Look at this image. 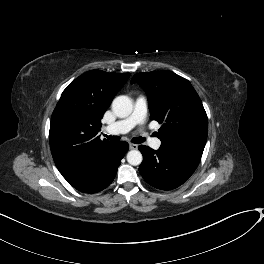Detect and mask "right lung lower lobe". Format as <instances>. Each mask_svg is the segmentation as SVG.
Segmentation results:
<instances>
[{
  "mask_svg": "<svg viewBox=\"0 0 264 264\" xmlns=\"http://www.w3.org/2000/svg\"><path fill=\"white\" fill-rule=\"evenodd\" d=\"M128 148V143L125 141L112 143L91 169L80 176L67 180L68 183L84 193L102 191L114 180L121 159Z\"/></svg>",
  "mask_w": 264,
  "mask_h": 264,
  "instance_id": "obj_1",
  "label": "right lung lower lobe"
}]
</instances>
